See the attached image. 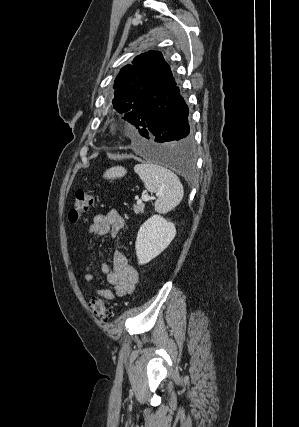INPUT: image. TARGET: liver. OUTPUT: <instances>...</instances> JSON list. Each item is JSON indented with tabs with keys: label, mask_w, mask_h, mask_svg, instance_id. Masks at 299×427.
<instances>
[{
	"label": "liver",
	"mask_w": 299,
	"mask_h": 427,
	"mask_svg": "<svg viewBox=\"0 0 299 427\" xmlns=\"http://www.w3.org/2000/svg\"><path fill=\"white\" fill-rule=\"evenodd\" d=\"M126 171L123 167H113L106 171L105 178H116L125 175Z\"/></svg>",
	"instance_id": "1"
}]
</instances>
